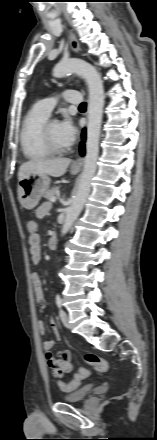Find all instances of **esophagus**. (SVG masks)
Returning <instances> with one entry per match:
<instances>
[{"instance_id": "esophagus-1", "label": "esophagus", "mask_w": 157, "mask_h": 440, "mask_svg": "<svg viewBox=\"0 0 157 440\" xmlns=\"http://www.w3.org/2000/svg\"><path fill=\"white\" fill-rule=\"evenodd\" d=\"M70 45H71V49L74 52H78L80 50L79 42H78V40L76 39V37L72 33H70ZM82 165H83V159L82 158H78L77 160H75L72 163V168L79 169V168L82 167Z\"/></svg>"}]
</instances>
